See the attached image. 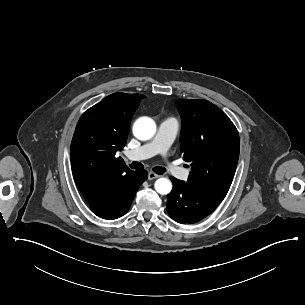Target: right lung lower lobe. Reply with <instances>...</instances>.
Returning a JSON list of instances; mask_svg holds the SVG:
<instances>
[{
	"instance_id": "98d812e1",
	"label": "right lung lower lobe",
	"mask_w": 305,
	"mask_h": 305,
	"mask_svg": "<svg viewBox=\"0 0 305 305\" xmlns=\"http://www.w3.org/2000/svg\"><path fill=\"white\" fill-rule=\"evenodd\" d=\"M147 177L145 170L132 171L87 202L98 217L117 219L129 210L138 188Z\"/></svg>"
}]
</instances>
